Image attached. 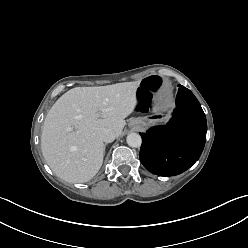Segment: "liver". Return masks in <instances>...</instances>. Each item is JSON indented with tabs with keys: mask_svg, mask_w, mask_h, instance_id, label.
<instances>
[{
	"mask_svg": "<svg viewBox=\"0 0 248 248\" xmlns=\"http://www.w3.org/2000/svg\"><path fill=\"white\" fill-rule=\"evenodd\" d=\"M140 81L99 87H76L63 94L49 110L42 129L41 149L46 163L61 179L83 183L102 166L103 129L122 133L135 109Z\"/></svg>",
	"mask_w": 248,
	"mask_h": 248,
	"instance_id": "1",
	"label": "liver"
}]
</instances>
